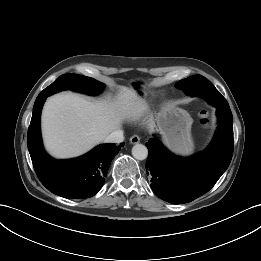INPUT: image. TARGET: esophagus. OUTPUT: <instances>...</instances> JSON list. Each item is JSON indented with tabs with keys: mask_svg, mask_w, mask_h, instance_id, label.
Instances as JSON below:
<instances>
[{
	"mask_svg": "<svg viewBox=\"0 0 261 261\" xmlns=\"http://www.w3.org/2000/svg\"><path fill=\"white\" fill-rule=\"evenodd\" d=\"M139 142H140L139 135L135 134V135L131 136V138H130V143L131 144H137Z\"/></svg>",
	"mask_w": 261,
	"mask_h": 261,
	"instance_id": "34e87169",
	"label": "esophagus"
}]
</instances>
